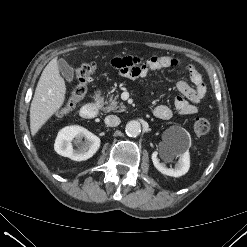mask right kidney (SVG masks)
<instances>
[{
    "instance_id": "obj_1",
    "label": "right kidney",
    "mask_w": 247,
    "mask_h": 247,
    "mask_svg": "<svg viewBox=\"0 0 247 247\" xmlns=\"http://www.w3.org/2000/svg\"><path fill=\"white\" fill-rule=\"evenodd\" d=\"M85 138V141H80ZM78 140V148L73 149L72 141ZM100 147V139L87 129L80 126H68L61 129L55 140V151L64 157L75 161H84L91 158Z\"/></svg>"
}]
</instances>
